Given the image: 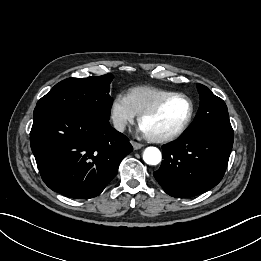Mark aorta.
I'll return each instance as SVG.
<instances>
[{
	"mask_svg": "<svg viewBox=\"0 0 261 261\" xmlns=\"http://www.w3.org/2000/svg\"><path fill=\"white\" fill-rule=\"evenodd\" d=\"M161 152L156 147H147L143 153V160L149 165H157L161 162Z\"/></svg>",
	"mask_w": 261,
	"mask_h": 261,
	"instance_id": "obj_1",
	"label": "aorta"
}]
</instances>
